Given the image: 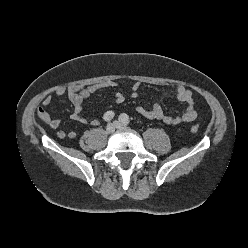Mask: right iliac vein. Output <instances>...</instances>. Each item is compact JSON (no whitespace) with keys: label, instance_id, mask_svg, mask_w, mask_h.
<instances>
[{"label":"right iliac vein","instance_id":"obj_1","mask_svg":"<svg viewBox=\"0 0 248 248\" xmlns=\"http://www.w3.org/2000/svg\"><path fill=\"white\" fill-rule=\"evenodd\" d=\"M116 125L114 123H110L106 126V132L108 134H112L115 131Z\"/></svg>","mask_w":248,"mask_h":248}]
</instances>
